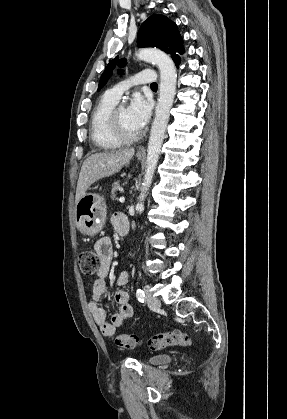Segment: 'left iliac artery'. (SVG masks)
<instances>
[{"mask_svg":"<svg viewBox=\"0 0 287 419\" xmlns=\"http://www.w3.org/2000/svg\"><path fill=\"white\" fill-rule=\"evenodd\" d=\"M136 297L139 302H144V297H145L144 291L142 289H137Z\"/></svg>","mask_w":287,"mask_h":419,"instance_id":"44dca946","label":"left iliac artery"}]
</instances>
